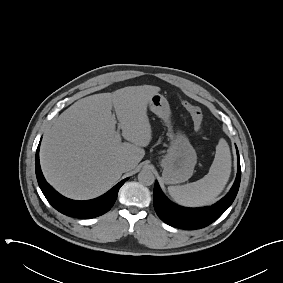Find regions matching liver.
<instances>
[{
    "instance_id": "1",
    "label": "liver",
    "mask_w": 283,
    "mask_h": 283,
    "mask_svg": "<svg viewBox=\"0 0 283 283\" xmlns=\"http://www.w3.org/2000/svg\"><path fill=\"white\" fill-rule=\"evenodd\" d=\"M157 86H128L76 101L45 133L40 163L47 181L62 195L76 200L96 198L121 177L120 164L134 169L152 139L147 106ZM118 128L128 142L116 136ZM128 170V171H129Z\"/></svg>"
}]
</instances>
